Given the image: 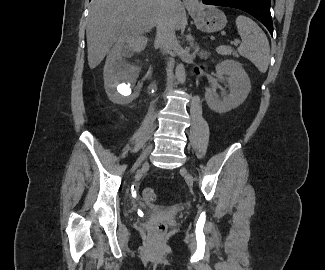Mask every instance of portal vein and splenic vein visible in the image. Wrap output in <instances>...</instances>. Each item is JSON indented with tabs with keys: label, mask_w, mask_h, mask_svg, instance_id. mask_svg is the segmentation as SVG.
<instances>
[{
	"label": "portal vein and splenic vein",
	"mask_w": 325,
	"mask_h": 270,
	"mask_svg": "<svg viewBox=\"0 0 325 270\" xmlns=\"http://www.w3.org/2000/svg\"><path fill=\"white\" fill-rule=\"evenodd\" d=\"M239 42H240L239 40H235V41H232L231 43L237 45V44H239Z\"/></svg>",
	"instance_id": "portal-vein-and-splenic-vein-1"
}]
</instances>
